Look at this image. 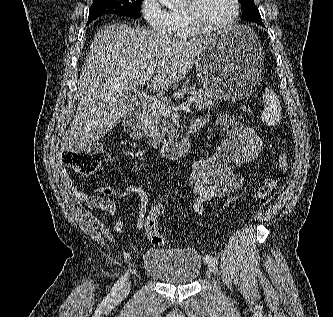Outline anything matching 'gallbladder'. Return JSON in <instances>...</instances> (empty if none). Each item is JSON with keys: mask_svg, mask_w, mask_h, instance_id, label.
Listing matches in <instances>:
<instances>
[{"mask_svg": "<svg viewBox=\"0 0 333 317\" xmlns=\"http://www.w3.org/2000/svg\"><path fill=\"white\" fill-rule=\"evenodd\" d=\"M126 102L128 104L129 107H135L136 102H137V98L134 96H130L126 98Z\"/></svg>", "mask_w": 333, "mask_h": 317, "instance_id": "1", "label": "gallbladder"}]
</instances>
